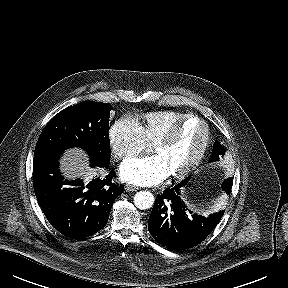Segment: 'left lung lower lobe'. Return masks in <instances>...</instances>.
<instances>
[{
    "label": "left lung lower lobe",
    "instance_id": "left-lung-lower-lobe-1",
    "mask_svg": "<svg viewBox=\"0 0 288 288\" xmlns=\"http://www.w3.org/2000/svg\"><path fill=\"white\" fill-rule=\"evenodd\" d=\"M186 182L183 180L163 194H158L148 220V230L153 238L169 250H184L201 243L224 214V211H220L207 218L196 214L190 216L191 211L190 214L187 212L180 198V188ZM225 192L229 194L230 190Z\"/></svg>",
    "mask_w": 288,
    "mask_h": 288
}]
</instances>
